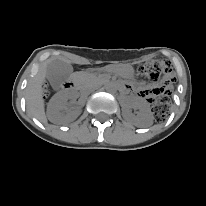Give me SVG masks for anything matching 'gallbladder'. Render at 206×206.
Returning a JSON list of instances; mask_svg holds the SVG:
<instances>
[{"label": "gallbladder", "instance_id": "gallbladder-1", "mask_svg": "<svg viewBox=\"0 0 206 206\" xmlns=\"http://www.w3.org/2000/svg\"><path fill=\"white\" fill-rule=\"evenodd\" d=\"M73 73L71 64L61 60L52 61L47 67V78L50 84L59 88Z\"/></svg>", "mask_w": 206, "mask_h": 206}]
</instances>
